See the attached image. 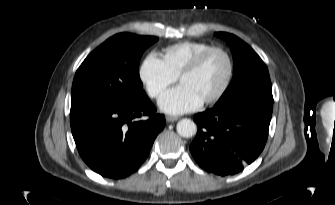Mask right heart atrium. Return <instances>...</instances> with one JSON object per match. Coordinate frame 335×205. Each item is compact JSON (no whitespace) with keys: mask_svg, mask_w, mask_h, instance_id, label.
Here are the masks:
<instances>
[{"mask_svg":"<svg viewBox=\"0 0 335 205\" xmlns=\"http://www.w3.org/2000/svg\"><path fill=\"white\" fill-rule=\"evenodd\" d=\"M139 79L151 98H158L177 80L156 53L148 54L139 67Z\"/></svg>","mask_w":335,"mask_h":205,"instance_id":"d8ad5b80","label":"right heart atrium"}]
</instances>
